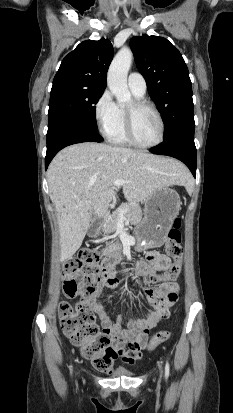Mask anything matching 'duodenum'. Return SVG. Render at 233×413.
I'll return each mask as SVG.
<instances>
[{
  "label": "duodenum",
  "mask_w": 233,
  "mask_h": 413,
  "mask_svg": "<svg viewBox=\"0 0 233 413\" xmlns=\"http://www.w3.org/2000/svg\"><path fill=\"white\" fill-rule=\"evenodd\" d=\"M100 226H101V223H100V222L95 223V224L92 226V228H91V230H90V233H91L92 235H95V234L98 232ZM118 251H119V247H118L117 245L112 246V247L108 250V252H107L108 258L116 259V258L118 257Z\"/></svg>",
  "instance_id": "410a0bca"
}]
</instances>
